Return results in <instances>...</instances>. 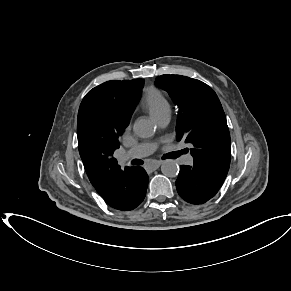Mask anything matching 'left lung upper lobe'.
Listing matches in <instances>:
<instances>
[{
    "instance_id": "1",
    "label": "left lung upper lobe",
    "mask_w": 291,
    "mask_h": 291,
    "mask_svg": "<svg viewBox=\"0 0 291 291\" xmlns=\"http://www.w3.org/2000/svg\"><path fill=\"white\" fill-rule=\"evenodd\" d=\"M156 84L179 107L176 138L191 143L194 163L226 178L230 166V133L222 105L207 84L181 75H161Z\"/></svg>"
}]
</instances>
